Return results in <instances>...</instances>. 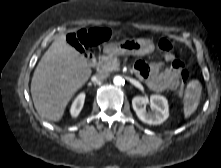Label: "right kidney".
Segmentation results:
<instances>
[{
	"instance_id": "1",
	"label": "right kidney",
	"mask_w": 221,
	"mask_h": 168,
	"mask_svg": "<svg viewBox=\"0 0 221 168\" xmlns=\"http://www.w3.org/2000/svg\"><path fill=\"white\" fill-rule=\"evenodd\" d=\"M84 100H85V94L84 93L79 94L76 97V99L74 100V102L71 106V110H70L71 115L73 117H77L79 115L80 111L83 108Z\"/></svg>"
}]
</instances>
